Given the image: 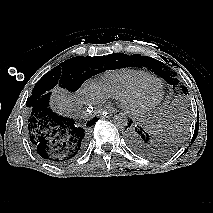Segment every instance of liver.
<instances>
[{"label":"liver","mask_w":213,"mask_h":213,"mask_svg":"<svg viewBox=\"0 0 213 213\" xmlns=\"http://www.w3.org/2000/svg\"><path fill=\"white\" fill-rule=\"evenodd\" d=\"M52 104L59 112H72L74 110L73 99L62 89H57L52 99Z\"/></svg>","instance_id":"liver-1"}]
</instances>
